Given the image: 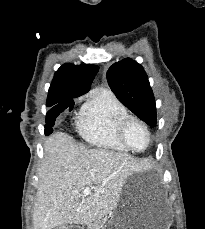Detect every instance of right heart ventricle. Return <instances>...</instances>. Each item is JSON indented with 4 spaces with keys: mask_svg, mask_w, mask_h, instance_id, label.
Here are the masks:
<instances>
[{
    "mask_svg": "<svg viewBox=\"0 0 205 229\" xmlns=\"http://www.w3.org/2000/svg\"><path fill=\"white\" fill-rule=\"evenodd\" d=\"M128 115L126 106L112 92L99 90L83 106L77 129L83 139L95 147L128 152L119 137L120 123Z\"/></svg>",
    "mask_w": 205,
    "mask_h": 229,
    "instance_id": "obj_1",
    "label": "right heart ventricle"
}]
</instances>
